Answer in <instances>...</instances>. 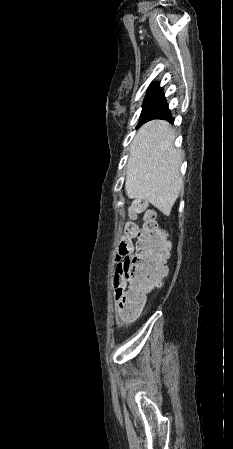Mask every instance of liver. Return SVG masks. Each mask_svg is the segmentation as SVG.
I'll return each instance as SVG.
<instances>
[{
    "instance_id": "1",
    "label": "liver",
    "mask_w": 233,
    "mask_h": 449,
    "mask_svg": "<svg viewBox=\"0 0 233 449\" xmlns=\"http://www.w3.org/2000/svg\"><path fill=\"white\" fill-rule=\"evenodd\" d=\"M175 131L167 121L152 120L137 132L130 147L125 191L147 200L169 215L184 187L180 175L183 154L174 148Z\"/></svg>"
}]
</instances>
